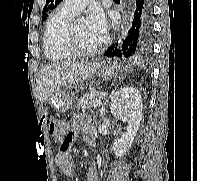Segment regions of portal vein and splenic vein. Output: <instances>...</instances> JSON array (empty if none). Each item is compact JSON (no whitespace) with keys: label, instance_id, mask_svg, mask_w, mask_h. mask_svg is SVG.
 <instances>
[{"label":"portal vein and splenic vein","instance_id":"1","mask_svg":"<svg viewBox=\"0 0 197 181\" xmlns=\"http://www.w3.org/2000/svg\"><path fill=\"white\" fill-rule=\"evenodd\" d=\"M101 105H102L101 100H98V101H96V102L93 104V107H99V106H101Z\"/></svg>","mask_w":197,"mask_h":181}]
</instances>
